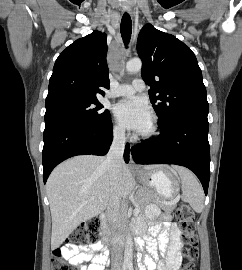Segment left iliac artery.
<instances>
[{"label": "left iliac artery", "mask_w": 242, "mask_h": 270, "mask_svg": "<svg viewBox=\"0 0 242 270\" xmlns=\"http://www.w3.org/2000/svg\"><path fill=\"white\" fill-rule=\"evenodd\" d=\"M129 270H133V268L130 266V267H129Z\"/></svg>", "instance_id": "obj_1"}]
</instances>
